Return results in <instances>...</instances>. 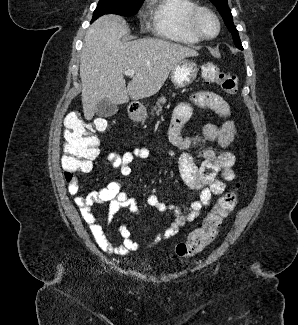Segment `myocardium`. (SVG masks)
<instances>
[{"mask_svg":"<svg viewBox=\"0 0 298 325\" xmlns=\"http://www.w3.org/2000/svg\"><path fill=\"white\" fill-rule=\"evenodd\" d=\"M202 15L208 16L214 24V34L210 37L205 36L198 27V21ZM188 29L200 40L203 42L211 41L215 39L219 34V24L215 15L205 7H197L192 14L187 19Z\"/></svg>","mask_w":298,"mask_h":325,"instance_id":"myocardium-1","label":"myocardium"}]
</instances>
